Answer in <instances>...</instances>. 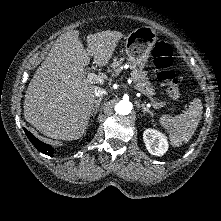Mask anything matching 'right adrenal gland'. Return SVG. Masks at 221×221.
Returning a JSON list of instances; mask_svg holds the SVG:
<instances>
[{"instance_id": "2a0ac1e0", "label": "right adrenal gland", "mask_w": 221, "mask_h": 221, "mask_svg": "<svg viewBox=\"0 0 221 221\" xmlns=\"http://www.w3.org/2000/svg\"><path fill=\"white\" fill-rule=\"evenodd\" d=\"M102 99H103V98H99V99L96 100L95 107H94V109H93V111H92V117H94V116L97 114Z\"/></svg>"}]
</instances>
